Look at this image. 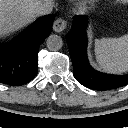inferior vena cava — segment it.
Instances as JSON below:
<instances>
[{
  "instance_id": "inferior-vena-cava-1",
  "label": "inferior vena cava",
  "mask_w": 128,
  "mask_h": 128,
  "mask_svg": "<svg viewBox=\"0 0 128 128\" xmlns=\"http://www.w3.org/2000/svg\"><path fill=\"white\" fill-rule=\"evenodd\" d=\"M52 2L50 1H45L41 2L34 10L35 14L37 15H47L50 14L52 11Z\"/></svg>"
}]
</instances>
